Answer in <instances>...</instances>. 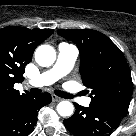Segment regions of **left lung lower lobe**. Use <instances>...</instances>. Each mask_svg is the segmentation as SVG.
I'll use <instances>...</instances> for the list:
<instances>
[{
	"mask_svg": "<svg viewBox=\"0 0 136 136\" xmlns=\"http://www.w3.org/2000/svg\"><path fill=\"white\" fill-rule=\"evenodd\" d=\"M75 108L73 116L64 120L75 136H109L126 113L122 108L92 101L87 108L78 104Z\"/></svg>",
	"mask_w": 136,
	"mask_h": 136,
	"instance_id": "obj_1",
	"label": "left lung lower lobe"
}]
</instances>
